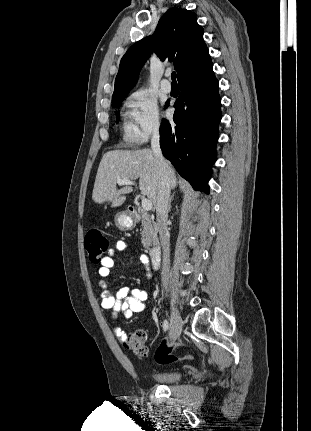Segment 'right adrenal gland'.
I'll return each instance as SVG.
<instances>
[{
	"label": "right adrenal gland",
	"mask_w": 311,
	"mask_h": 431,
	"mask_svg": "<svg viewBox=\"0 0 311 431\" xmlns=\"http://www.w3.org/2000/svg\"><path fill=\"white\" fill-rule=\"evenodd\" d=\"M174 196H175V194H172L171 198H169V206H168V208H169V212H170V210H171V202H172V200H173Z\"/></svg>",
	"instance_id": "right-adrenal-gland-1"
}]
</instances>
